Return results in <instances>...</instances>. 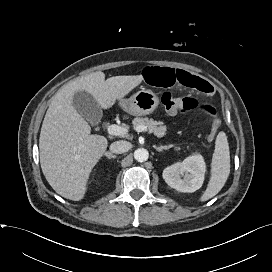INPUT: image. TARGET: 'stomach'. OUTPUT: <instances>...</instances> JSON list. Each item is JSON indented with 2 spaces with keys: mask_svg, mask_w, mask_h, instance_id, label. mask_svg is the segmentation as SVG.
Instances as JSON below:
<instances>
[{
  "mask_svg": "<svg viewBox=\"0 0 272 272\" xmlns=\"http://www.w3.org/2000/svg\"><path fill=\"white\" fill-rule=\"evenodd\" d=\"M119 104L131 115L144 116L155 111L159 105V98L153 91L143 89L128 99L120 100Z\"/></svg>",
  "mask_w": 272,
  "mask_h": 272,
  "instance_id": "0dacf381",
  "label": "stomach"
}]
</instances>
